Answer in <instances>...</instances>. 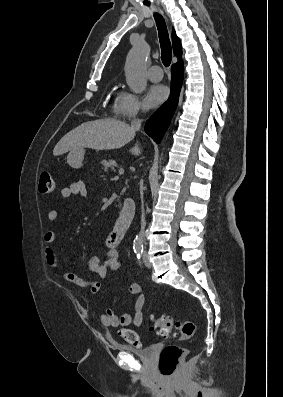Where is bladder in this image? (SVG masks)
Here are the masks:
<instances>
[{
	"instance_id": "31cf9c89",
	"label": "bladder",
	"mask_w": 283,
	"mask_h": 397,
	"mask_svg": "<svg viewBox=\"0 0 283 397\" xmlns=\"http://www.w3.org/2000/svg\"><path fill=\"white\" fill-rule=\"evenodd\" d=\"M158 344H150L145 347H133L129 345H124V344H118L117 347L123 351H126L128 353H131L143 360H151L154 358L156 355V352L158 350Z\"/></svg>"
}]
</instances>
